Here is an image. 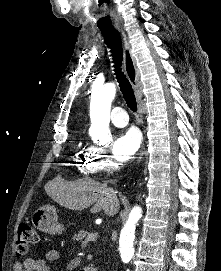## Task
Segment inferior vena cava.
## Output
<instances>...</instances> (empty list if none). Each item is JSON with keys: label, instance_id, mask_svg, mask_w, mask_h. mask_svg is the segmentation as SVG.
Here are the masks:
<instances>
[{"label": "inferior vena cava", "instance_id": "1", "mask_svg": "<svg viewBox=\"0 0 221 271\" xmlns=\"http://www.w3.org/2000/svg\"><path fill=\"white\" fill-rule=\"evenodd\" d=\"M110 183H116L117 179H109ZM106 197H116V191H114L113 187H107V195Z\"/></svg>", "mask_w": 221, "mask_h": 271}]
</instances>
